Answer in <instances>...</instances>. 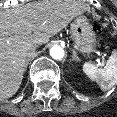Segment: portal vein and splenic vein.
<instances>
[{
  "label": "portal vein and splenic vein",
  "mask_w": 117,
  "mask_h": 117,
  "mask_svg": "<svg viewBox=\"0 0 117 117\" xmlns=\"http://www.w3.org/2000/svg\"><path fill=\"white\" fill-rule=\"evenodd\" d=\"M95 54L99 57V58H101V54L99 53V52H95Z\"/></svg>",
  "instance_id": "obj_1"
}]
</instances>
